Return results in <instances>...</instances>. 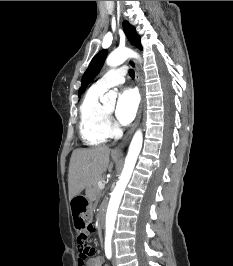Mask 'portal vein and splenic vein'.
<instances>
[{"label": "portal vein and splenic vein", "mask_w": 233, "mask_h": 266, "mask_svg": "<svg viewBox=\"0 0 233 266\" xmlns=\"http://www.w3.org/2000/svg\"><path fill=\"white\" fill-rule=\"evenodd\" d=\"M99 189H103L105 187V184L103 182L98 183Z\"/></svg>", "instance_id": "obj_1"}]
</instances>
